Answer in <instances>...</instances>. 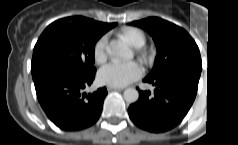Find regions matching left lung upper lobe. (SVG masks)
Instances as JSON below:
<instances>
[{
  "label": "left lung upper lobe",
  "mask_w": 238,
  "mask_h": 145,
  "mask_svg": "<svg viewBox=\"0 0 238 145\" xmlns=\"http://www.w3.org/2000/svg\"><path fill=\"white\" fill-rule=\"evenodd\" d=\"M130 24L146 30L156 44V63L147 78L202 70L199 48L185 29L157 17L133 21Z\"/></svg>",
  "instance_id": "5c2ea615"
}]
</instances>
